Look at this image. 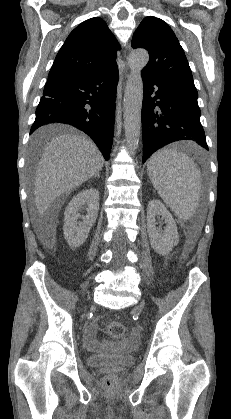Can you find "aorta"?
<instances>
[{"label": "aorta", "mask_w": 231, "mask_h": 419, "mask_svg": "<svg viewBox=\"0 0 231 419\" xmlns=\"http://www.w3.org/2000/svg\"><path fill=\"white\" fill-rule=\"evenodd\" d=\"M149 61L144 49L134 50L128 57L130 74L124 93L123 117L125 139L130 152L138 146L141 133V110L143 101L142 70Z\"/></svg>", "instance_id": "aorta-1"}]
</instances>
